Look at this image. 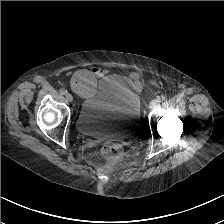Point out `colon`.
I'll return each mask as SVG.
<instances>
[{
  "mask_svg": "<svg viewBox=\"0 0 224 224\" xmlns=\"http://www.w3.org/2000/svg\"><path fill=\"white\" fill-rule=\"evenodd\" d=\"M71 86L77 94L89 96L97 87V76L92 70H80L74 75ZM102 152L108 158H118L122 154V146L108 142L104 144Z\"/></svg>",
  "mask_w": 224,
  "mask_h": 224,
  "instance_id": "5ec220e1",
  "label": "colon"
}]
</instances>
